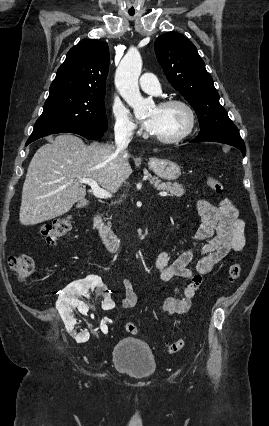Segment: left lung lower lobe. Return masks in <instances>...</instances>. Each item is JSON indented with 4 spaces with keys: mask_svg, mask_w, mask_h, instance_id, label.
<instances>
[{
    "mask_svg": "<svg viewBox=\"0 0 269 426\" xmlns=\"http://www.w3.org/2000/svg\"><path fill=\"white\" fill-rule=\"evenodd\" d=\"M201 141H213V142L225 143L240 149L243 156H245L246 154L244 141L241 138L239 130L237 129L236 126L217 131L212 135L204 136V135L198 134V136L192 140V142H201Z\"/></svg>",
    "mask_w": 269,
    "mask_h": 426,
    "instance_id": "obj_1",
    "label": "left lung lower lobe"
}]
</instances>
